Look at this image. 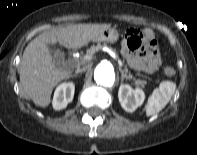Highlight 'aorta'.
<instances>
[{
    "label": "aorta",
    "instance_id": "obj_1",
    "mask_svg": "<svg viewBox=\"0 0 197 155\" xmlns=\"http://www.w3.org/2000/svg\"><path fill=\"white\" fill-rule=\"evenodd\" d=\"M94 78L97 84L103 87H111L115 81V69L108 61L99 63L94 71Z\"/></svg>",
    "mask_w": 197,
    "mask_h": 155
}]
</instances>
